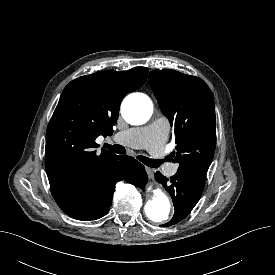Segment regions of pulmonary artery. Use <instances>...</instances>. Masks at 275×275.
Returning a JSON list of instances; mask_svg holds the SVG:
<instances>
[{"label": "pulmonary artery", "mask_w": 275, "mask_h": 275, "mask_svg": "<svg viewBox=\"0 0 275 275\" xmlns=\"http://www.w3.org/2000/svg\"><path fill=\"white\" fill-rule=\"evenodd\" d=\"M168 134V125L162 120H156L145 127H135L115 134L114 138L121 144L133 147L143 148L150 152L154 157L162 154L163 143ZM177 172V166L174 164L167 166V173L174 175Z\"/></svg>", "instance_id": "1"}]
</instances>
